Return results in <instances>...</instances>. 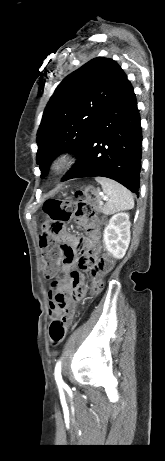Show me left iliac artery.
I'll list each match as a JSON object with an SVG mask.
<instances>
[{"mask_svg":"<svg viewBox=\"0 0 165 461\" xmlns=\"http://www.w3.org/2000/svg\"><path fill=\"white\" fill-rule=\"evenodd\" d=\"M55 380L57 382V384L60 386V385H63L64 382L62 380V377H61V364L60 362H58L56 364V367H55Z\"/></svg>","mask_w":165,"mask_h":461,"instance_id":"1","label":"left iliac artery"}]
</instances>
